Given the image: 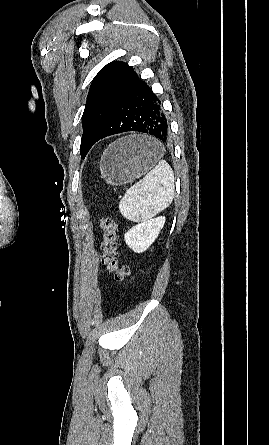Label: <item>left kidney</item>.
I'll return each mask as SVG.
<instances>
[{
  "instance_id": "obj_1",
  "label": "left kidney",
  "mask_w": 269,
  "mask_h": 445,
  "mask_svg": "<svg viewBox=\"0 0 269 445\" xmlns=\"http://www.w3.org/2000/svg\"><path fill=\"white\" fill-rule=\"evenodd\" d=\"M165 217H157L133 226L124 236L126 244L136 253L146 251L158 237Z\"/></svg>"
}]
</instances>
